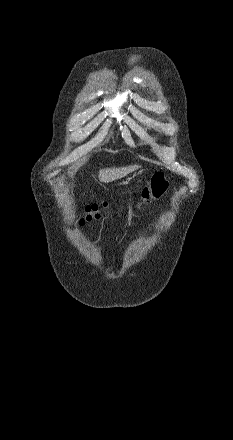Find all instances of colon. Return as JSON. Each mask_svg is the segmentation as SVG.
<instances>
[{"instance_id":"5ec220e1","label":"colon","mask_w":233,"mask_h":440,"mask_svg":"<svg viewBox=\"0 0 233 440\" xmlns=\"http://www.w3.org/2000/svg\"><path fill=\"white\" fill-rule=\"evenodd\" d=\"M171 184L170 179L162 172H156L152 178L149 187L144 188L142 191V200L137 203V207L141 208L144 204L150 202L153 199L161 197ZM102 207H106V204H91L84 208V217L81 222L89 221L93 218L100 216V210Z\"/></svg>"}]
</instances>
